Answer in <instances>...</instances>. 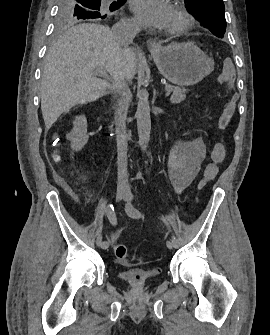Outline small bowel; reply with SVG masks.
Here are the masks:
<instances>
[{
  "label": "small bowel",
  "instance_id": "obj_1",
  "mask_svg": "<svg viewBox=\"0 0 270 335\" xmlns=\"http://www.w3.org/2000/svg\"><path fill=\"white\" fill-rule=\"evenodd\" d=\"M54 145H61V138L53 139ZM206 155V148L199 138L188 143H179L171 151L168 173L176 193H181L196 176ZM47 156H64V149H47Z\"/></svg>",
  "mask_w": 270,
  "mask_h": 335
}]
</instances>
